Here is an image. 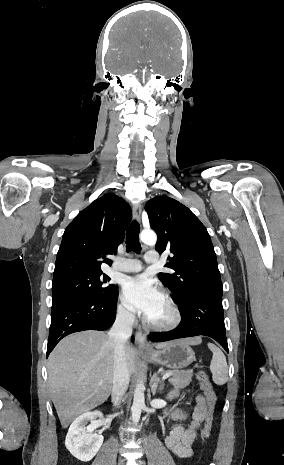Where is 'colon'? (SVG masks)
I'll use <instances>...</instances> for the list:
<instances>
[{
	"label": "colon",
	"instance_id": "obj_1",
	"mask_svg": "<svg viewBox=\"0 0 284 465\" xmlns=\"http://www.w3.org/2000/svg\"><path fill=\"white\" fill-rule=\"evenodd\" d=\"M197 377L200 381V384H201V388L206 396V406H207V410L208 412H213L214 408H215V405H216V395L214 393V390L212 388V385L208 379V376L206 375V373L204 371H199L197 373ZM210 418H207L205 420V424H204V428H203V438H202V441L204 443H207L209 441V438H208V435H209V431H210Z\"/></svg>",
	"mask_w": 284,
	"mask_h": 465
}]
</instances>
